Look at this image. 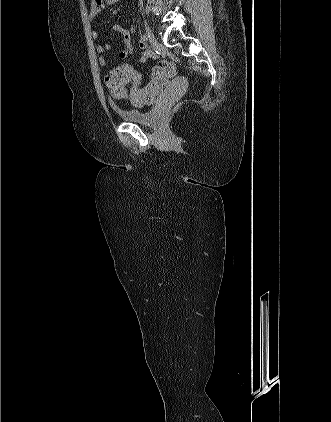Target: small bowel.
Returning a JSON list of instances; mask_svg holds the SVG:
<instances>
[{
	"label": "small bowel",
	"mask_w": 331,
	"mask_h": 422,
	"mask_svg": "<svg viewBox=\"0 0 331 422\" xmlns=\"http://www.w3.org/2000/svg\"><path fill=\"white\" fill-rule=\"evenodd\" d=\"M121 0H91L90 11H89V19L93 21L98 15L104 12L108 7L112 5H116L120 3ZM111 31L119 32L124 39V49L119 52V57L121 59H126L129 56L133 55L134 47H133V37L135 28L132 24H129L128 27H123L120 25H113L111 27ZM91 36L93 39L99 38V32L97 30H92ZM112 47L111 43L107 42L104 44H97L95 49L98 54V62L99 65L104 67L106 65V51L110 50ZM139 48L142 50L139 56L140 62H145L151 56V51L147 48V44L144 41L139 43ZM104 80L107 86H109V74L104 76ZM140 80L135 81L134 93L135 96H132V101L135 104H144L143 102L139 101L136 96L145 97L148 99L147 103H151L155 100V98L162 92L166 82L165 80H158L154 74H152V78L150 82L144 86L139 87Z\"/></svg>",
	"instance_id": "obj_1"
}]
</instances>
